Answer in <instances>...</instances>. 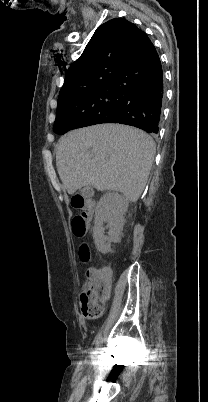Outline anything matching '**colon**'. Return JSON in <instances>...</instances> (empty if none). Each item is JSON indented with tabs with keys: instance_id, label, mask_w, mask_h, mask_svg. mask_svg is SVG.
Returning <instances> with one entry per match:
<instances>
[{
	"instance_id": "1",
	"label": "colon",
	"mask_w": 208,
	"mask_h": 402,
	"mask_svg": "<svg viewBox=\"0 0 208 402\" xmlns=\"http://www.w3.org/2000/svg\"><path fill=\"white\" fill-rule=\"evenodd\" d=\"M89 227V219L79 215L73 218V234L77 238L86 235ZM90 244L87 241L82 242L81 247L76 249V254L80 256L83 265H88L84 275L85 283L80 293L82 314H105L106 298L111 295L110 268L104 267L103 272H99L98 264L92 261L89 254Z\"/></svg>"
}]
</instances>
